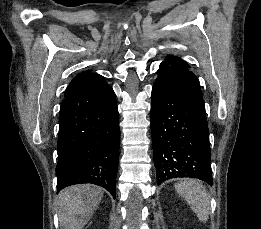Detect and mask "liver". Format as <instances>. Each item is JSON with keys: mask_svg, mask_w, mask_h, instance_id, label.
<instances>
[{"mask_svg": "<svg viewBox=\"0 0 261 229\" xmlns=\"http://www.w3.org/2000/svg\"><path fill=\"white\" fill-rule=\"evenodd\" d=\"M103 191L97 185H73L59 193L55 205L63 229H83L101 203Z\"/></svg>", "mask_w": 261, "mask_h": 229, "instance_id": "liver-1", "label": "liver"}]
</instances>
